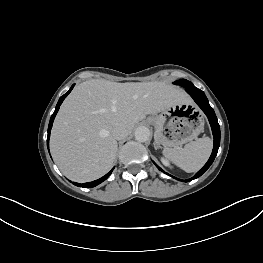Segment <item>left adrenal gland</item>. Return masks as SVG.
I'll list each match as a JSON object with an SVG mask.
<instances>
[{"mask_svg":"<svg viewBox=\"0 0 263 263\" xmlns=\"http://www.w3.org/2000/svg\"><path fill=\"white\" fill-rule=\"evenodd\" d=\"M154 148L157 150L158 149V145L156 143H154Z\"/></svg>","mask_w":263,"mask_h":263,"instance_id":"1","label":"left adrenal gland"}]
</instances>
